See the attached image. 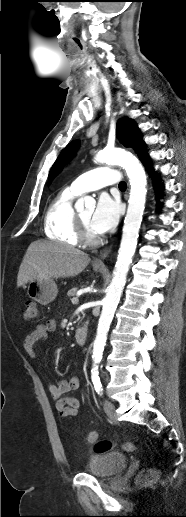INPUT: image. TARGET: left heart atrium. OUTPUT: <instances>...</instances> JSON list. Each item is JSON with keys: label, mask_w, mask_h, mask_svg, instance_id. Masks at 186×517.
Listing matches in <instances>:
<instances>
[{"label": "left heart atrium", "mask_w": 186, "mask_h": 517, "mask_svg": "<svg viewBox=\"0 0 186 517\" xmlns=\"http://www.w3.org/2000/svg\"><path fill=\"white\" fill-rule=\"evenodd\" d=\"M120 217V204L107 194L100 196L92 214L90 226L98 234H103L114 228Z\"/></svg>", "instance_id": "left-heart-atrium-1"}]
</instances>
